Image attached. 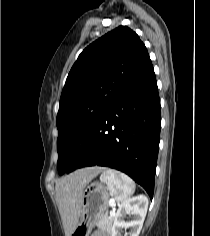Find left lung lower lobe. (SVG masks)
<instances>
[{"label":"left lung lower lobe","mask_w":210,"mask_h":236,"mask_svg":"<svg viewBox=\"0 0 210 236\" xmlns=\"http://www.w3.org/2000/svg\"><path fill=\"white\" fill-rule=\"evenodd\" d=\"M161 128L160 99L151 61L115 97L66 170H120L153 197Z\"/></svg>","instance_id":"obj_1"}]
</instances>
